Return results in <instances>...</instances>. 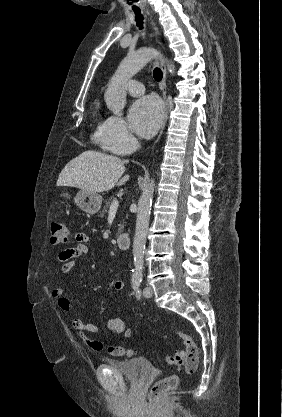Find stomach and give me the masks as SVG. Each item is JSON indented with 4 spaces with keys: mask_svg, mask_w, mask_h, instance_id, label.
Wrapping results in <instances>:
<instances>
[{
    "mask_svg": "<svg viewBox=\"0 0 282 417\" xmlns=\"http://www.w3.org/2000/svg\"><path fill=\"white\" fill-rule=\"evenodd\" d=\"M61 202L70 200L71 194L68 190H63L60 194ZM101 194L97 192H90V190H79L75 196V202L81 211L88 213V215H95L101 209L102 204Z\"/></svg>",
    "mask_w": 282,
    "mask_h": 417,
    "instance_id": "stomach-1",
    "label": "stomach"
}]
</instances>
